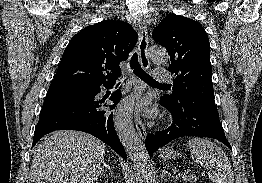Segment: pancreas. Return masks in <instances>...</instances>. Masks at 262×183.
<instances>
[{
  "label": "pancreas",
  "mask_w": 262,
  "mask_h": 183,
  "mask_svg": "<svg viewBox=\"0 0 262 183\" xmlns=\"http://www.w3.org/2000/svg\"><path fill=\"white\" fill-rule=\"evenodd\" d=\"M190 176V175H189ZM194 176V175H193ZM188 177V176H187ZM197 179H196V177L195 178H190V179H188V181H190L191 183H193V182H195Z\"/></svg>",
  "instance_id": "pancreas-1"
}]
</instances>
